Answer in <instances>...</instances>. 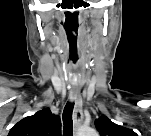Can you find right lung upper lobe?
Wrapping results in <instances>:
<instances>
[{
    "mask_svg": "<svg viewBox=\"0 0 151 136\" xmlns=\"http://www.w3.org/2000/svg\"><path fill=\"white\" fill-rule=\"evenodd\" d=\"M61 120L45 108L32 116L23 118L10 130L11 136H59Z\"/></svg>",
    "mask_w": 151,
    "mask_h": 136,
    "instance_id": "1",
    "label": "right lung upper lobe"
}]
</instances>
